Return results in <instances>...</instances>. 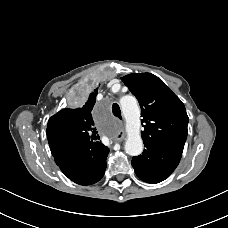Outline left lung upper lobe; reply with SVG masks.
Returning a JSON list of instances; mask_svg holds the SVG:
<instances>
[{"mask_svg":"<svg viewBox=\"0 0 228 228\" xmlns=\"http://www.w3.org/2000/svg\"><path fill=\"white\" fill-rule=\"evenodd\" d=\"M122 81L140 104L144 145H162L183 151L189 118L181 100L151 73H132Z\"/></svg>","mask_w":228,"mask_h":228,"instance_id":"obj_1","label":"left lung upper lobe"}]
</instances>
